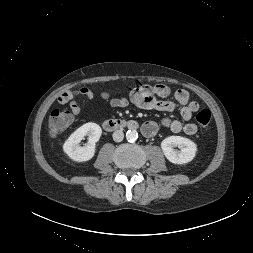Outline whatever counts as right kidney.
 Masks as SVG:
<instances>
[{"label":"right kidney","mask_w":253,"mask_h":253,"mask_svg":"<svg viewBox=\"0 0 253 253\" xmlns=\"http://www.w3.org/2000/svg\"><path fill=\"white\" fill-rule=\"evenodd\" d=\"M102 134L101 127L96 123H86L74 131L63 145L64 152L74 161L85 162L93 158L95 144ZM88 136V143L80 146L79 143Z\"/></svg>","instance_id":"ca27d5eb"}]
</instances>
